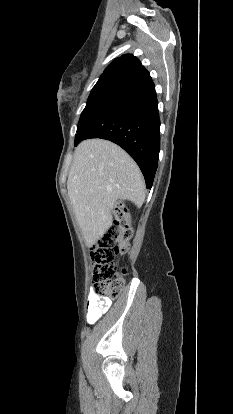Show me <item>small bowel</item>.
I'll use <instances>...</instances> for the list:
<instances>
[{
    "instance_id": "obj_1",
    "label": "small bowel",
    "mask_w": 233,
    "mask_h": 414,
    "mask_svg": "<svg viewBox=\"0 0 233 414\" xmlns=\"http://www.w3.org/2000/svg\"><path fill=\"white\" fill-rule=\"evenodd\" d=\"M88 292L91 294L88 297L86 320L89 324H94L109 310L112 302L109 298L92 293V288Z\"/></svg>"
}]
</instances>
